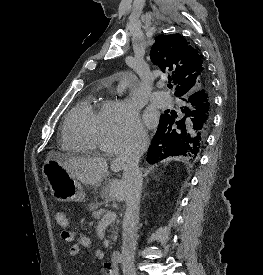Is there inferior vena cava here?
Returning a JSON list of instances; mask_svg holds the SVG:
<instances>
[{
    "label": "inferior vena cava",
    "mask_w": 263,
    "mask_h": 275,
    "mask_svg": "<svg viewBox=\"0 0 263 275\" xmlns=\"http://www.w3.org/2000/svg\"><path fill=\"white\" fill-rule=\"evenodd\" d=\"M145 133L126 142L117 158L118 166L123 169V179L127 185L126 212L123 218L122 269L123 275H136L134 255L137 244V224L139 222L142 174L139 160L148 147Z\"/></svg>",
    "instance_id": "obj_1"
}]
</instances>
